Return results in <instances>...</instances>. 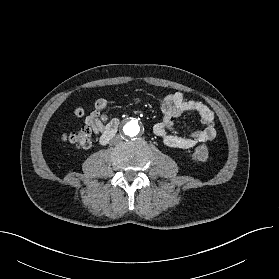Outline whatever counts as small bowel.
<instances>
[{
  "mask_svg": "<svg viewBox=\"0 0 279 279\" xmlns=\"http://www.w3.org/2000/svg\"><path fill=\"white\" fill-rule=\"evenodd\" d=\"M107 107L108 101L99 98L94 103V109L85 118V125L100 138L110 123H107ZM161 111L162 119L154 125V133L162 139L167 147L191 149L198 144L213 140L216 136L213 111L198 100L185 98L182 91L166 95L161 101ZM185 112H196L204 128L188 136L176 134L173 128V119L180 117Z\"/></svg>",
  "mask_w": 279,
  "mask_h": 279,
  "instance_id": "small-bowel-1",
  "label": "small bowel"
}]
</instances>
